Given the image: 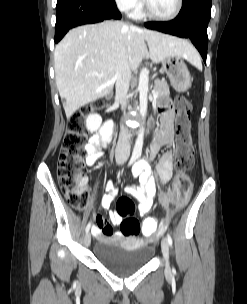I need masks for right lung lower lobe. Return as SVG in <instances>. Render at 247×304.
I'll list each match as a JSON object with an SVG mask.
<instances>
[{
    "instance_id": "98d812e1",
    "label": "right lung lower lobe",
    "mask_w": 247,
    "mask_h": 304,
    "mask_svg": "<svg viewBox=\"0 0 247 304\" xmlns=\"http://www.w3.org/2000/svg\"><path fill=\"white\" fill-rule=\"evenodd\" d=\"M120 17L115 0H57L54 42L73 27Z\"/></svg>"
}]
</instances>
